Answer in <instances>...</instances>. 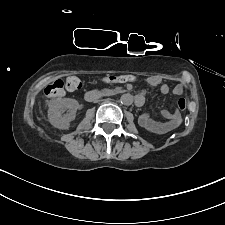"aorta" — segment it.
I'll list each match as a JSON object with an SVG mask.
<instances>
[{"mask_svg":"<svg viewBox=\"0 0 225 225\" xmlns=\"http://www.w3.org/2000/svg\"><path fill=\"white\" fill-rule=\"evenodd\" d=\"M120 102L121 104L123 105H131L132 102H133V96L129 93H126V94H123L121 97H120Z\"/></svg>","mask_w":225,"mask_h":225,"instance_id":"1","label":"aorta"}]
</instances>
